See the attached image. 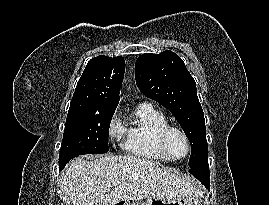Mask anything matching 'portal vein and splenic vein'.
Instances as JSON below:
<instances>
[{
  "mask_svg": "<svg viewBox=\"0 0 269 205\" xmlns=\"http://www.w3.org/2000/svg\"><path fill=\"white\" fill-rule=\"evenodd\" d=\"M121 183V180L120 179H116L113 181V185H118Z\"/></svg>",
  "mask_w": 269,
  "mask_h": 205,
  "instance_id": "obj_1",
  "label": "portal vein and splenic vein"
}]
</instances>
